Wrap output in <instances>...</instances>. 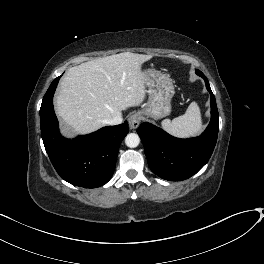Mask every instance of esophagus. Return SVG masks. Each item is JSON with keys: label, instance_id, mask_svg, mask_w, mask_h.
Segmentation results:
<instances>
[{"label": "esophagus", "instance_id": "obj_1", "mask_svg": "<svg viewBox=\"0 0 264 264\" xmlns=\"http://www.w3.org/2000/svg\"><path fill=\"white\" fill-rule=\"evenodd\" d=\"M128 123L131 129H136L140 124V115L132 113L128 118Z\"/></svg>", "mask_w": 264, "mask_h": 264}]
</instances>
